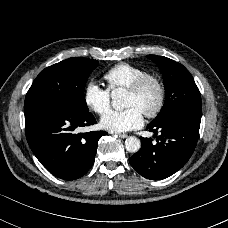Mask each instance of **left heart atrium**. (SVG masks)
<instances>
[{"label": "left heart atrium", "mask_w": 228, "mask_h": 228, "mask_svg": "<svg viewBox=\"0 0 228 228\" xmlns=\"http://www.w3.org/2000/svg\"><path fill=\"white\" fill-rule=\"evenodd\" d=\"M101 126L113 133L127 132L143 124L142 112L136 107L124 110H111L101 118Z\"/></svg>", "instance_id": "obj_1"}]
</instances>
